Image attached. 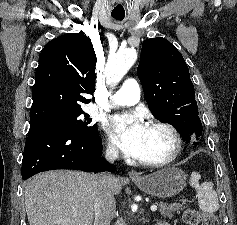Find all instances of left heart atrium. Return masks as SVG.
<instances>
[{"label": "left heart atrium", "mask_w": 237, "mask_h": 225, "mask_svg": "<svg viewBox=\"0 0 237 225\" xmlns=\"http://www.w3.org/2000/svg\"><path fill=\"white\" fill-rule=\"evenodd\" d=\"M107 128L126 155L134 158L140 157L147 126L137 115L117 114L112 116Z\"/></svg>", "instance_id": "left-heart-atrium-1"}]
</instances>
